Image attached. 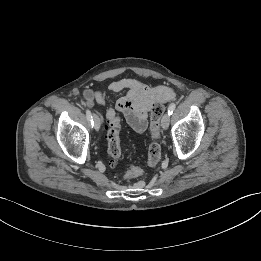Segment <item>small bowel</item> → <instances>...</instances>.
<instances>
[{
	"label": "small bowel",
	"instance_id": "obj_1",
	"mask_svg": "<svg viewBox=\"0 0 261 261\" xmlns=\"http://www.w3.org/2000/svg\"><path fill=\"white\" fill-rule=\"evenodd\" d=\"M107 91L125 92L113 107L106 110V119L111 120L122 113L130 126L137 132L147 128V117L151 107L157 102H169L176 98L175 91L165 85L150 86L142 81L124 78L112 81ZM106 91L87 89L83 93V103L89 107L97 104L105 105Z\"/></svg>",
	"mask_w": 261,
	"mask_h": 261
}]
</instances>
